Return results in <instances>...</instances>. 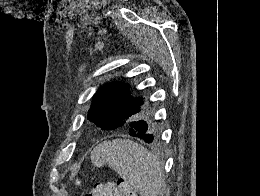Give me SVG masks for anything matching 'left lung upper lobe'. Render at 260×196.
<instances>
[{
  "instance_id": "obj_1",
  "label": "left lung upper lobe",
  "mask_w": 260,
  "mask_h": 196,
  "mask_svg": "<svg viewBox=\"0 0 260 196\" xmlns=\"http://www.w3.org/2000/svg\"><path fill=\"white\" fill-rule=\"evenodd\" d=\"M113 106L129 107L134 113L121 124L101 123L98 119ZM87 118L103 130L129 128L131 124L143 123L148 127L154 142L159 139L161 132V120L156 119L153 107L150 104L145 105L142 98H132L129 95V86L120 82L106 84L97 91L93 97V104Z\"/></svg>"
}]
</instances>
